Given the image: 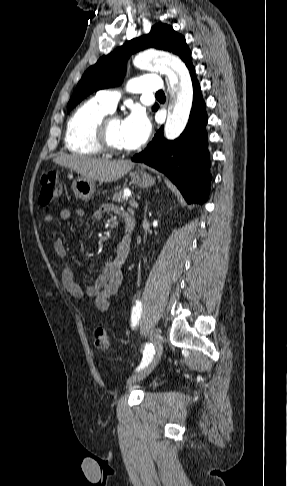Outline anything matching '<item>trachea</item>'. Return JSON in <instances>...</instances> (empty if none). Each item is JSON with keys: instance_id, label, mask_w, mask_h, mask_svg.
I'll list each match as a JSON object with an SVG mask.
<instances>
[{"instance_id": "1", "label": "trachea", "mask_w": 287, "mask_h": 486, "mask_svg": "<svg viewBox=\"0 0 287 486\" xmlns=\"http://www.w3.org/2000/svg\"><path fill=\"white\" fill-rule=\"evenodd\" d=\"M156 96H164V92L163 91H159L156 93Z\"/></svg>"}]
</instances>
